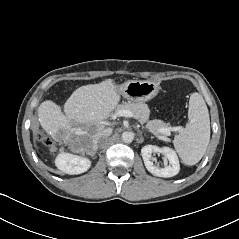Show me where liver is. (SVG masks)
Here are the masks:
<instances>
[{
  "instance_id": "6515ba94",
  "label": "liver",
  "mask_w": 239,
  "mask_h": 239,
  "mask_svg": "<svg viewBox=\"0 0 239 239\" xmlns=\"http://www.w3.org/2000/svg\"><path fill=\"white\" fill-rule=\"evenodd\" d=\"M120 101V94L112 79L98 84H89L76 89L64 104V113L59 105L46 100L38 107V117L43 129L55 139L72 134H87L95 148V140L104 130V120L109 118ZM87 128L89 133L82 132ZM82 147L78 152H85Z\"/></svg>"
}]
</instances>
